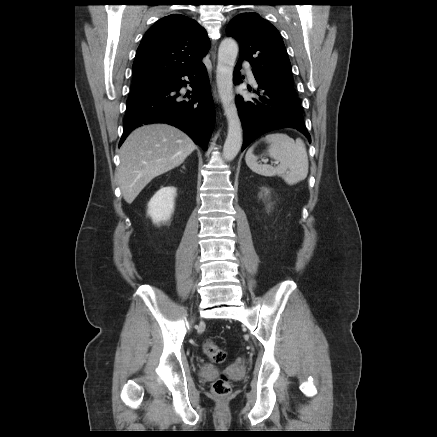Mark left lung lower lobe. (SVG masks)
<instances>
[{
    "instance_id": "left-lung-lower-lobe-1",
    "label": "left lung lower lobe",
    "mask_w": 437,
    "mask_h": 437,
    "mask_svg": "<svg viewBox=\"0 0 437 437\" xmlns=\"http://www.w3.org/2000/svg\"><path fill=\"white\" fill-rule=\"evenodd\" d=\"M240 68L241 61H238L234 70V84L241 83ZM255 79L258 84V89L254 91L255 98L248 101L240 95L236 97L244 131L242 151L261 134L283 127L295 128L311 141L296 96L270 86L256 76Z\"/></svg>"
}]
</instances>
